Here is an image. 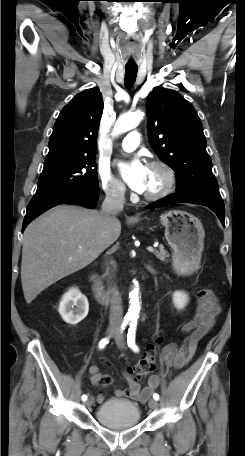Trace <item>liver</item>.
<instances>
[{
	"instance_id": "obj_1",
	"label": "liver",
	"mask_w": 245,
	"mask_h": 456,
	"mask_svg": "<svg viewBox=\"0 0 245 456\" xmlns=\"http://www.w3.org/2000/svg\"><path fill=\"white\" fill-rule=\"evenodd\" d=\"M116 214L108 222L97 210L59 205L30 223L23 236L21 263L26 302L88 266L113 244L121 233Z\"/></svg>"
}]
</instances>
